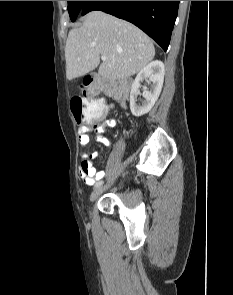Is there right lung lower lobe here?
Returning <instances> with one entry per match:
<instances>
[{
  "label": "right lung lower lobe",
  "instance_id": "1",
  "mask_svg": "<svg viewBox=\"0 0 233 295\" xmlns=\"http://www.w3.org/2000/svg\"><path fill=\"white\" fill-rule=\"evenodd\" d=\"M179 1H86L81 14L100 10L127 20L167 50Z\"/></svg>",
  "mask_w": 233,
  "mask_h": 295
}]
</instances>
